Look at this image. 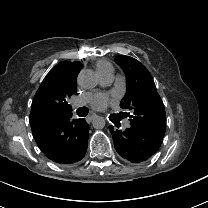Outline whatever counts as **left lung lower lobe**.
<instances>
[{
	"instance_id": "1",
	"label": "left lung lower lobe",
	"mask_w": 208,
	"mask_h": 208,
	"mask_svg": "<svg viewBox=\"0 0 208 208\" xmlns=\"http://www.w3.org/2000/svg\"><path fill=\"white\" fill-rule=\"evenodd\" d=\"M117 153L126 161L141 163L150 159L160 148L163 137L132 123L125 130L109 126Z\"/></svg>"
}]
</instances>
